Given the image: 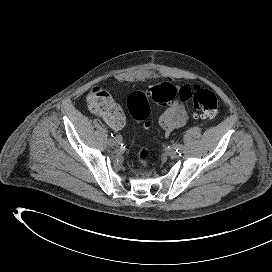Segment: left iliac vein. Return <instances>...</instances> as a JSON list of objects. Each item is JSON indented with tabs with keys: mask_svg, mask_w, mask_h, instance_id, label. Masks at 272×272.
<instances>
[{
	"mask_svg": "<svg viewBox=\"0 0 272 272\" xmlns=\"http://www.w3.org/2000/svg\"><path fill=\"white\" fill-rule=\"evenodd\" d=\"M168 156L175 157L177 155V152L174 149H170L167 152Z\"/></svg>",
	"mask_w": 272,
	"mask_h": 272,
	"instance_id": "1",
	"label": "left iliac vein"
}]
</instances>
